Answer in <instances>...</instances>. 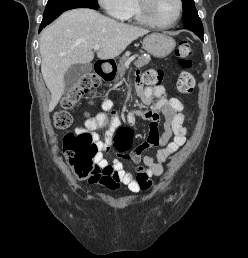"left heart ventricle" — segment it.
Instances as JSON below:
<instances>
[{
    "label": "left heart ventricle",
    "mask_w": 248,
    "mask_h": 258,
    "mask_svg": "<svg viewBox=\"0 0 248 258\" xmlns=\"http://www.w3.org/2000/svg\"><path fill=\"white\" fill-rule=\"evenodd\" d=\"M178 10L177 0H151L150 13L160 23L171 22Z\"/></svg>",
    "instance_id": "1"
}]
</instances>
